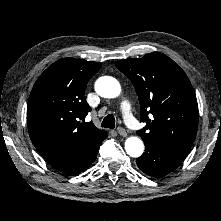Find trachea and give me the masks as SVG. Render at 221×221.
<instances>
[{
  "mask_svg": "<svg viewBox=\"0 0 221 221\" xmlns=\"http://www.w3.org/2000/svg\"><path fill=\"white\" fill-rule=\"evenodd\" d=\"M101 126L105 127V128L114 129V127H115V118H114V116L112 114L107 115L104 118Z\"/></svg>",
  "mask_w": 221,
  "mask_h": 221,
  "instance_id": "3493384b",
  "label": "trachea"
}]
</instances>
